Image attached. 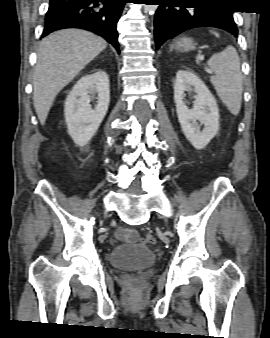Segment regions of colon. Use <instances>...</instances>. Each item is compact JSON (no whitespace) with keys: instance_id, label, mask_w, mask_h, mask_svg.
Here are the masks:
<instances>
[{"instance_id":"colon-1","label":"colon","mask_w":270,"mask_h":338,"mask_svg":"<svg viewBox=\"0 0 270 338\" xmlns=\"http://www.w3.org/2000/svg\"><path fill=\"white\" fill-rule=\"evenodd\" d=\"M142 241L153 245V244H155L156 239L152 236H147V237L142 238Z\"/></svg>"}]
</instances>
